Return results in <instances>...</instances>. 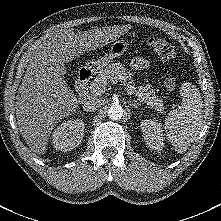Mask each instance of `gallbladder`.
Wrapping results in <instances>:
<instances>
[{
	"label": "gallbladder",
	"mask_w": 221,
	"mask_h": 221,
	"mask_svg": "<svg viewBox=\"0 0 221 221\" xmlns=\"http://www.w3.org/2000/svg\"><path fill=\"white\" fill-rule=\"evenodd\" d=\"M62 71H63V74H66V69H65V67H64V69H63Z\"/></svg>",
	"instance_id": "bac80fb5"
}]
</instances>
